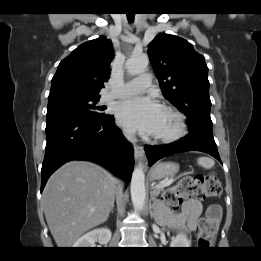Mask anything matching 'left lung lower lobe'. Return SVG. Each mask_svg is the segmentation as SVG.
<instances>
[{
	"label": "left lung lower lobe",
	"instance_id": "1",
	"mask_svg": "<svg viewBox=\"0 0 261 261\" xmlns=\"http://www.w3.org/2000/svg\"><path fill=\"white\" fill-rule=\"evenodd\" d=\"M189 128V134L179 141L157 147L145 146L144 149L149 160V165H153L157 160L163 157L186 151L208 153L222 164L213 138L212 126L198 124L189 126Z\"/></svg>",
	"mask_w": 261,
	"mask_h": 261
}]
</instances>
